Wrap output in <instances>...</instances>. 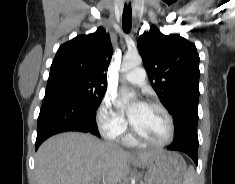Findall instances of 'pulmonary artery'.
<instances>
[{
  "instance_id": "e3ab8cb5",
  "label": "pulmonary artery",
  "mask_w": 235,
  "mask_h": 184,
  "mask_svg": "<svg viewBox=\"0 0 235 184\" xmlns=\"http://www.w3.org/2000/svg\"><path fill=\"white\" fill-rule=\"evenodd\" d=\"M146 71L142 68L134 69L123 76V80L134 86H141L146 80Z\"/></svg>"
}]
</instances>
